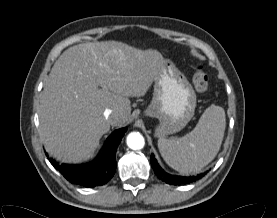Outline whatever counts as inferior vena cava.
Instances as JSON below:
<instances>
[{
    "label": "inferior vena cava",
    "mask_w": 277,
    "mask_h": 218,
    "mask_svg": "<svg viewBox=\"0 0 277 218\" xmlns=\"http://www.w3.org/2000/svg\"><path fill=\"white\" fill-rule=\"evenodd\" d=\"M104 116L106 117V119H111L112 116H113L112 110H111V109H106V110L104 111Z\"/></svg>",
    "instance_id": "obj_1"
}]
</instances>
